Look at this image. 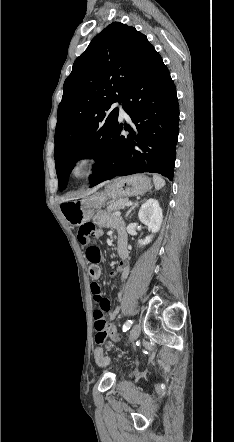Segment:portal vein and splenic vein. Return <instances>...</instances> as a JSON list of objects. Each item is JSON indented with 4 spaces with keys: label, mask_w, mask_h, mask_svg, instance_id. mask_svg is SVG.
<instances>
[{
    "label": "portal vein and splenic vein",
    "mask_w": 234,
    "mask_h": 442,
    "mask_svg": "<svg viewBox=\"0 0 234 442\" xmlns=\"http://www.w3.org/2000/svg\"><path fill=\"white\" fill-rule=\"evenodd\" d=\"M132 205V202H127L126 203V206H131Z\"/></svg>",
    "instance_id": "18ae733b"
}]
</instances>
